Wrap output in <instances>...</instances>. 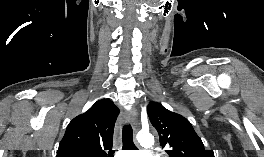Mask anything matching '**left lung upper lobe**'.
<instances>
[{"instance_id":"1","label":"left lung upper lobe","mask_w":264,"mask_h":157,"mask_svg":"<svg viewBox=\"0 0 264 157\" xmlns=\"http://www.w3.org/2000/svg\"><path fill=\"white\" fill-rule=\"evenodd\" d=\"M147 113L159 134L160 145L169 148V157H214L213 150L204 149L202 140L183 116L157 102L147 106Z\"/></svg>"}]
</instances>
